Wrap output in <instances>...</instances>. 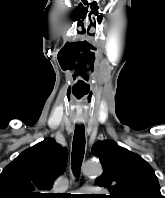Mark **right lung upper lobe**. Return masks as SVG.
I'll return each mask as SVG.
<instances>
[{"label":"right lung upper lobe","mask_w":165,"mask_h":198,"mask_svg":"<svg viewBox=\"0 0 165 198\" xmlns=\"http://www.w3.org/2000/svg\"><path fill=\"white\" fill-rule=\"evenodd\" d=\"M67 151L47 138L23 151L0 174V198H49L46 191L64 171Z\"/></svg>","instance_id":"obj_1"}]
</instances>
